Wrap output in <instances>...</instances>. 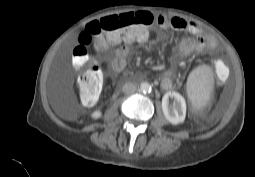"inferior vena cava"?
<instances>
[{"mask_svg": "<svg viewBox=\"0 0 255 177\" xmlns=\"http://www.w3.org/2000/svg\"><path fill=\"white\" fill-rule=\"evenodd\" d=\"M122 91L125 94H133L137 91V86L134 83H125L123 85Z\"/></svg>", "mask_w": 255, "mask_h": 177, "instance_id": "inferior-vena-cava-1", "label": "inferior vena cava"}]
</instances>
